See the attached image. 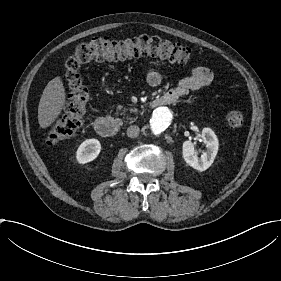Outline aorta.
I'll return each mask as SVG.
<instances>
[{
  "mask_svg": "<svg viewBox=\"0 0 281 281\" xmlns=\"http://www.w3.org/2000/svg\"><path fill=\"white\" fill-rule=\"evenodd\" d=\"M173 115L168 107H159L154 110L151 119V129L154 134L165 131L172 122Z\"/></svg>",
  "mask_w": 281,
  "mask_h": 281,
  "instance_id": "1",
  "label": "aorta"
}]
</instances>
